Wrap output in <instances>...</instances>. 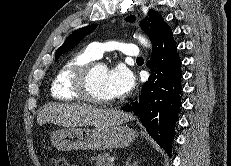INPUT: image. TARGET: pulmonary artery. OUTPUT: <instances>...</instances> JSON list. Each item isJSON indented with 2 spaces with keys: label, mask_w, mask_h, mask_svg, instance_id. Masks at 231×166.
Segmentation results:
<instances>
[{
  "label": "pulmonary artery",
  "mask_w": 231,
  "mask_h": 166,
  "mask_svg": "<svg viewBox=\"0 0 231 166\" xmlns=\"http://www.w3.org/2000/svg\"><path fill=\"white\" fill-rule=\"evenodd\" d=\"M88 48L96 58L102 57L106 51L111 50H119L129 57H139L140 54L136 44L117 41L93 42L88 46Z\"/></svg>",
  "instance_id": "e3ab8cb5"
}]
</instances>
